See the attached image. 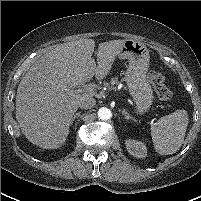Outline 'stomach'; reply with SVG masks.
Returning <instances> with one entry per match:
<instances>
[{
    "instance_id": "1",
    "label": "stomach",
    "mask_w": 201,
    "mask_h": 201,
    "mask_svg": "<svg viewBox=\"0 0 201 201\" xmlns=\"http://www.w3.org/2000/svg\"><path fill=\"white\" fill-rule=\"evenodd\" d=\"M117 57L128 60L129 65L124 80L136 103L137 111L146 112L153 99V90L146 78L150 60L148 48L141 42L127 39L124 40Z\"/></svg>"
}]
</instances>
